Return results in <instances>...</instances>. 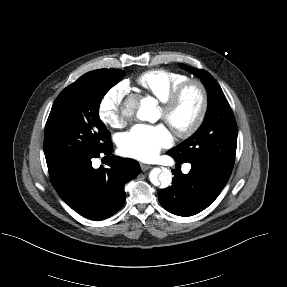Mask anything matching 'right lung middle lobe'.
Segmentation results:
<instances>
[{
	"instance_id": "obj_1",
	"label": "right lung middle lobe",
	"mask_w": 287,
	"mask_h": 287,
	"mask_svg": "<svg viewBox=\"0 0 287 287\" xmlns=\"http://www.w3.org/2000/svg\"><path fill=\"white\" fill-rule=\"evenodd\" d=\"M124 74L119 69L94 70L59 94L45 126L48 167L100 151L110 142V133L99 118V105Z\"/></svg>"
}]
</instances>
